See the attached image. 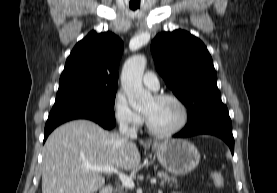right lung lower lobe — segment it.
<instances>
[{"mask_svg": "<svg viewBox=\"0 0 277 193\" xmlns=\"http://www.w3.org/2000/svg\"><path fill=\"white\" fill-rule=\"evenodd\" d=\"M73 119H89L105 129H112L116 124L115 119L90 109L71 106H53L45 125L43 142H45L54 128Z\"/></svg>", "mask_w": 277, "mask_h": 193, "instance_id": "1", "label": "right lung lower lobe"}]
</instances>
